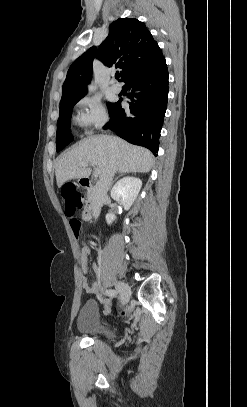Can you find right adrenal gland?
Returning <instances> with one entry per match:
<instances>
[{
    "label": "right adrenal gland",
    "instance_id": "obj_1",
    "mask_svg": "<svg viewBox=\"0 0 247 407\" xmlns=\"http://www.w3.org/2000/svg\"><path fill=\"white\" fill-rule=\"evenodd\" d=\"M122 175H123V174H121L120 176H122ZM117 179H118V177L115 178V181H116ZM113 183H114V181H112V183H111L109 189L112 187Z\"/></svg>",
    "mask_w": 247,
    "mask_h": 407
}]
</instances>
